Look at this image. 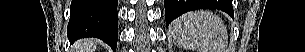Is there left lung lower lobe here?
<instances>
[{
	"instance_id": "left-lung-lower-lobe-1",
	"label": "left lung lower lobe",
	"mask_w": 305,
	"mask_h": 52,
	"mask_svg": "<svg viewBox=\"0 0 305 52\" xmlns=\"http://www.w3.org/2000/svg\"><path fill=\"white\" fill-rule=\"evenodd\" d=\"M228 1L230 2L228 7L216 8L209 4L207 0H164L166 26H168L172 20L179 17L181 14L190 10L200 8L221 9L233 18L234 12L232 7V1Z\"/></svg>"
}]
</instances>
